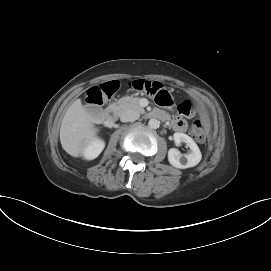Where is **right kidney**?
Returning a JSON list of instances; mask_svg holds the SVG:
<instances>
[{
    "label": "right kidney",
    "mask_w": 271,
    "mask_h": 271,
    "mask_svg": "<svg viewBox=\"0 0 271 271\" xmlns=\"http://www.w3.org/2000/svg\"><path fill=\"white\" fill-rule=\"evenodd\" d=\"M104 147L105 143L103 140L98 138H92L87 142L83 150V156L87 160H93L100 155Z\"/></svg>",
    "instance_id": "1"
}]
</instances>
